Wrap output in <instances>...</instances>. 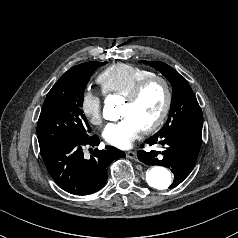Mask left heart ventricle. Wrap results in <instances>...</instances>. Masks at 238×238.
<instances>
[{
  "instance_id": "obj_1",
  "label": "left heart ventricle",
  "mask_w": 238,
  "mask_h": 238,
  "mask_svg": "<svg viewBox=\"0 0 238 238\" xmlns=\"http://www.w3.org/2000/svg\"><path fill=\"white\" fill-rule=\"evenodd\" d=\"M165 92L161 84L150 85L135 104H125L121 109L122 117H132L142 128L152 123L164 104Z\"/></svg>"
}]
</instances>
